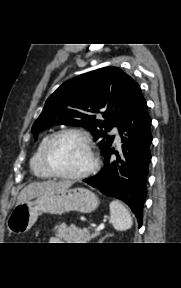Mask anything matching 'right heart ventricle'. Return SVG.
<instances>
[{
	"label": "right heart ventricle",
	"instance_id": "1",
	"mask_svg": "<svg viewBox=\"0 0 181 288\" xmlns=\"http://www.w3.org/2000/svg\"><path fill=\"white\" fill-rule=\"evenodd\" d=\"M52 135H46L38 145L37 149L35 150L31 160H30V169L32 173L39 179H52L55 176L52 175L48 169L46 168L44 161H43V153L45 147Z\"/></svg>",
	"mask_w": 181,
	"mask_h": 288
}]
</instances>
